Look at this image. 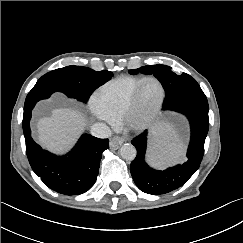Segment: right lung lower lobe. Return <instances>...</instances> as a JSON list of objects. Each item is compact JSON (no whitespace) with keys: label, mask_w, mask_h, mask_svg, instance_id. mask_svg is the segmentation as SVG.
I'll list each match as a JSON object with an SVG mask.
<instances>
[{"label":"right lung lower lobe","mask_w":243,"mask_h":243,"mask_svg":"<svg viewBox=\"0 0 243 243\" xmlns=\"http://www.w3.org/2000/svg\"><path fill=\"white\" fill-rule=\"evenodd\" d=\"M52 93L51 90L32 89L26 97L22 124L27 157L33 171L46 186L60 194H82L95 183L102 153L109 148V140L84 134L65 156L43 150L32 139L29 123L35 104Z\"/></svg>","instance_id":"right-lung-lower-lobe-1"}]
</instances>
